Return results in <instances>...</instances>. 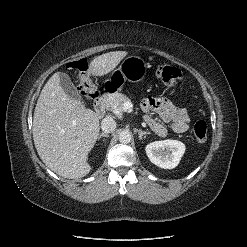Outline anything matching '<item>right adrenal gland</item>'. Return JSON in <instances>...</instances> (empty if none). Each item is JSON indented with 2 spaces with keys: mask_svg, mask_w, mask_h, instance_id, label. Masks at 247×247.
<instances>
[{
  "mask_svg": "<svg viewBox=\"0 0 247 247\" xmlns=\"http://www.w3.org/2000/svg\"><path fill=\"white\" fill-rule=\"evenodd\" d=\"M102 137L108 138V137H109V134L101 133V134L98 136V140H100Z\"/></svg>",
  "mask_w": 247,
  "mask_h": 247,
  "instance_id": "right-adrenal-gland-1",
  "label": "right adrenal gland"
}]
</instances>
